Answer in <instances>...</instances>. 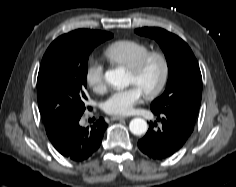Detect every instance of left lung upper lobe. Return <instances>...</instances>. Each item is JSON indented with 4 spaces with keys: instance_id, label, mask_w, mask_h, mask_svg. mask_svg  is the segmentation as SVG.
<instances>
[{
    "instance_id": "obj_1",
    "label": "left lung upper lobe",
    "mask_w": 236,
    "mask_h": 187,
    "mask_svg": "<svg viewBox=\"0 0 236 187\" xmlns=\"http://www.w3.org/2000/svg\"><path fill=\"white\" fill-rule=\"evenodd\" d=\"M135 32L155 39L168 64L166 90L151 103L152 112L173 114L195 124L201 103L202 76L192 50L177 35L161 28L144 27Z\"/></svg>"
}]
</instances>
